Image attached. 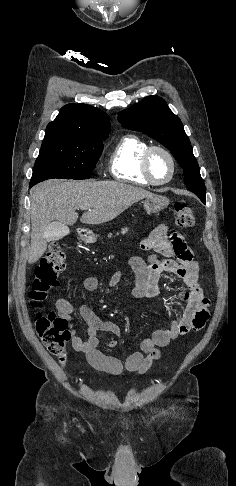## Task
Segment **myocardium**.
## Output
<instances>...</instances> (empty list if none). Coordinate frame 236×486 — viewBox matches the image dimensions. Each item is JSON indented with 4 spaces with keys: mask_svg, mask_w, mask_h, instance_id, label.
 I'll return each instance as SVG.
<instances>
[{
    "mask_svg": "<svg viewBox=\"0 0 236 486\" xmlns=\"http://www.w3.org/2000/svg\"><path fill=\"white\" fill-rule=\"evenodd\" d=\"M156 151L163 153L168 158V160L170 162V166H171V171H170L168 178H166L165 180H162V181L156 180L150 172V167H149L150 158H151V155ZM141 172H142L144 178L150 184L156 185V186L165 185L173 179V177L176 173V162H175L174 156L172 155V153L168 149H166L162 146H158V145L149 146L144 151V153L142 155Z\"/></svg>",
    "mask_w": 236,
    "mask_h": 486,
    "instance_id": "1",
    "label": "myocardium"
}]
</instances>
